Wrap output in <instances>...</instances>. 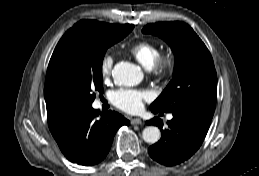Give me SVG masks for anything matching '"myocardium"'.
Returning a JSON list of instances; mask_svg holds the SVG:
<instances>
[{
  "mask_svg": "<svg viewBox=\"0 0 259 176\" xmlns=\"http://www.w3.org/2000/svg\"><path fill=\"white\" fill-rule=\"evenodd\" d=\"M176 65V56L172 51L161 54L151 67V71L157 75H167L173 71Z\"/></svg>",
  "mask_w": 259,
  "mask_h": 176,
  "instance_id": "obj_1",
  "label": "myocardium"
}]
</instances>
